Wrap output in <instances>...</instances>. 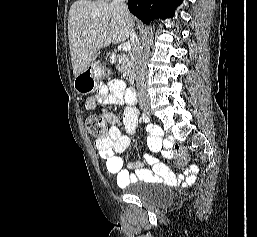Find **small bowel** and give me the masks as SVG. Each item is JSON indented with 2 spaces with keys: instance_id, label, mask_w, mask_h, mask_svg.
<instances>
[{
  "instance_id": "1",
  "label": "small bowel",
  "mask_w": 257,
  "mask_h": 237,
  "mask_svg": "<svg viewBox=\"0 0 257 237\" xmlns=\"http://www.w3.org/2000/svg\"><path fill=\"white\" fill-rule=\"evenodd\" d=\"M125 103V84L120 79H112L108 84L98 88L96 94L86 100V106L95 109L98 104L106 105H123ZM101 115L111 124L108 135L104 139L96 140L94 145L101 159L105 161L106 169L109 173L116 176L117 185L125 187L130 182L144 180L146 182L163 181L169 185H175L180 181H193L197 172V166H190L184 173L175 174L169 168L161 163L156 157L157 150L161 147L162 133L158 128L148 130L149 151L145 153L146 160L151 164L152 170L143 168L141 162L130 164L127 168H123L121 154L129 148L130 138L122 134L124 129L129 134L134 133L138 123V110L134 106H126L122 117H118L105 107H102ZM166 156H171L168 147L164 149ZM187 161V158H183Z\"/></svg>"
}]
</instances>
